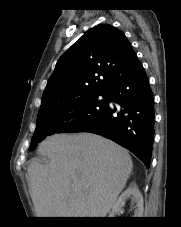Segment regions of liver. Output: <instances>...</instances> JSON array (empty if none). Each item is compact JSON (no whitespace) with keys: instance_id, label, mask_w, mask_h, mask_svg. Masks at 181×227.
<instances>
[{"instance_id":"obj_1","label":"liver","mask_w":181,"mask_h":227,"mask_svg":"<svg viewBox=\"0 0 181 227\" xmlns=\"http://www.w3.org/2000/svg\"><path fill=\"white\" fill-rule=\"evenodd\" d=\"M39 153L50 162L28 167L37 217H105L133 169L126 149L91 133L53 135Z\"/></svg>"}]
</instances>
